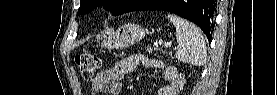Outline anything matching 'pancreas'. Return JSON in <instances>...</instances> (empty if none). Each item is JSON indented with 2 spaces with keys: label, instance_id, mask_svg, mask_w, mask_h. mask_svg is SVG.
Masks as SVG:
<instances>
[{
  "label": "pancreas",
  "instance_id": "obj_1",
  "mask_svg": "<svg viewBox=\"0 0 277 95\" xmlns=\"http://www.w3.org/2000/svg\"><path fill=\"white\" fill-rule=\"evenodd\" d=\"M147 51L149 52V53H151L152 52V47H147ZM165 53V52H164Z\"/></svg>",
  "mask_w": 277,
  "mask_h": 95
}]
</instances>
